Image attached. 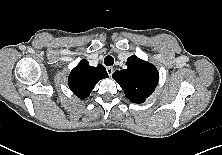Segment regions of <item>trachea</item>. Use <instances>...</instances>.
<instances>
[{
	"label": "trachea",
	"instance_id": "obj_1",
	"mask_svg": "<svg viewBox=\"0 0 222 155\" xmlns=\"http://www.w3.org/2000/svg\"><path fill=\"white\" fill-rule=\"evenodd\" d=\"M104 63L107 66H112L114 64V58L112 56H106L104 59Z\"/></svg>",
	"mask_w": 222,
	"mask_h": 155
}]
</instances>
